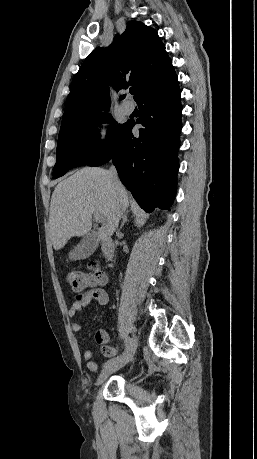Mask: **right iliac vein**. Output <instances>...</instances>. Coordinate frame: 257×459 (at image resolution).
<instances>
[{
    "instance_id": "obj_1",
    "label": "right iliac vein",
    "mask_w": 257,
    "mask_h": 459,
    "mask_svg": "<svg viewBox=\"0 0 257 459\" xmlns=\"http://www.w3.org/2000/svg\"><path fill=\"white\" fill-rule=\"evenodd\" d=\"M136 350V335H133L132 339V344L128 350V352L117 362L107 366L98 376L96 380V385L102 384L108 376H110L112 373L118 371L122 367H124L130 360H132L134 353Z\"/></svg>"
}]
</instances>
